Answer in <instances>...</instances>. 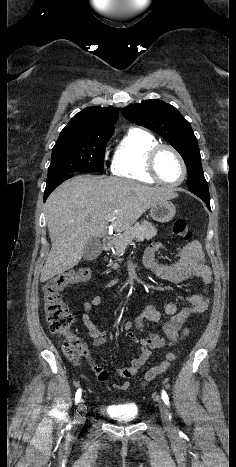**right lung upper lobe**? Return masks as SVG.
<instances>
[{
	"instance_id": "right-lung-upper-lobe-1",
	"label": "right lung upper lobe",
	"mask_w": 236,
	"mask_h": 467,
	"mask_svg": "<svg viewBox=\"0 0 236 467\" xmlns=\"http://www.w3.org/2000/svg\"><path fill=\"white\" fill-rule=\"evenodd\" d=\"M118 115L114 108L88 107L77 113L62 132L113 133Z\"/></svg>"
}]
</instances>
